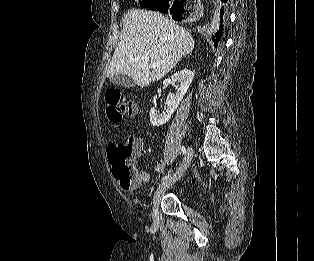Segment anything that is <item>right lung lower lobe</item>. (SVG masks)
Returning <instances> with one entry per match:
<instances>
[{
  "mask_svg": "<svg viewBox=\"0 0 314 261\" xmlns=\"http://www.w3.org/2000/svg\"><path fill=\"white\" fill-rule=\"evenodd\" d=\"M228 0H216L217 2V12H218V22L212 29L211 38L214 42V46L217 47L221 42L224 26L227 17V3ZM150 10L160 11L163 13H168L172 16L174 20L181 21L185 19L184 14H182L181 4L177 0H162L161 2L148 7Z\"/></svg>",
  "mask_w": 314,
  "mask_h": 261,
  "instance_id": "right-lung-lower-lobe-1",
  "label": "right lung lower lobe"
}]
</instances>
